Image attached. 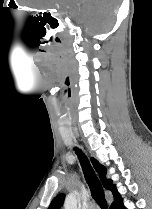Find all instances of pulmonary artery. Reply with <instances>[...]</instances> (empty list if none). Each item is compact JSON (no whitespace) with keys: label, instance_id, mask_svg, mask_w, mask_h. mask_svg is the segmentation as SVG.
<instances>
[{"label":"pulmonary artery","instance_id":"obj_1","mask_svg":"<svg viewBox=\"0 0 152 209\" xmlns=\"http://www.w3.org/2000/svg\"><path fill=\"white\" fill-rule=\"evenodd\" d=\"M88 209H98V207H97L96 204L91 203V204L88 206Z\"/></svg>","mask_w":152,"mask_h":209}]
</instances>
